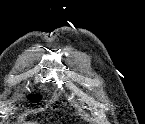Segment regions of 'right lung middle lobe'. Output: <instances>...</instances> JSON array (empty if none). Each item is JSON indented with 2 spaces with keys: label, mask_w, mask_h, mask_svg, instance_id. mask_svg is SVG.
<instances>
[{
  "label": "right lung middle lobe",
  "mask_w": 145,
  "mask_h": 124,
  "mask_svg": "<svg viewBox=\"0 0 145 124\" xmlns=\"http://www.w3.org/2000/svg\"><path fill=\"white\" fill-rule=\"evenodd\" d=\"M40 96L38 95V96H31L30 97V100H32V101H38V100H40Z\"/></svg>",
  "instance_id": "1"
}]
</instances>
